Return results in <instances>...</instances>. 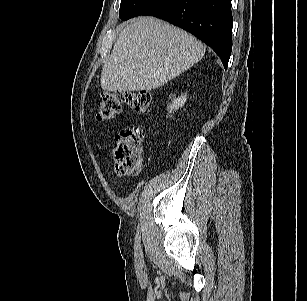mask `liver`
Instances as JSON below:
<instances>
[{"label": "liver", "mask_w": 307, "mask_h": 301, "mask_svg": "<svg viewBox=\"0 0 307 301\" xmlns=\"http://www.w3.org/2000/svg\"><path fill=\"white\" fill-rule=\"evenodd\" d=\"M206 46L154 17H138L120 32L101 72L105 91L156 89L200 61Z\"/></svg>", "instance_id": "liver-1"}]
</instances>
